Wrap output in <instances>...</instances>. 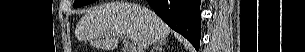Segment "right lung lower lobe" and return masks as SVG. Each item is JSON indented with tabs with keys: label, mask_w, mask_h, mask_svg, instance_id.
<instances>
[{
	"label": "right lung lower lobe",
	"mask_w": 305,
	"mask_h": 52,
	"mask_svg": "<svg viewBox=\"0 0 305 52\" xmlns=\"http://www.w3.org/2000/svg\"><path fill=\"white\" fill-rule=\"evenodd\" d=\"M155 13L173 30L199 49L200 0H147Z\"/></svg>",
	"instance_id": "right-lung-lower-lobe-1"
}]
</instances>
